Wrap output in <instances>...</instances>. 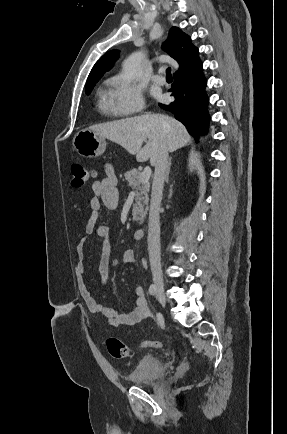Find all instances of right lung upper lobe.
I'll use <instances>...</instances> for the list:
<instances>
[{
  "label": "right lung upper lobe",
  "instance_id": "cb5924a9",
  "mask_svg": "<svg viewBox=\"0 0 287 434\" xmlns=\"http://www.w3.org/2000/svg\"><path fill=\"white\" fill-rule=\"evenodd\" d=\"M163 49L179 63L180 68L187 65L198 54V49L192 45L191 38L178 27L170 29L168 39L163 44ZM117 58L118 53L114 51L103 55L92 68L86 84L98 81L112 67Z\"/></svg>",
  "mask_w": 287,
  "mask_h": 434
}]
</instances>
